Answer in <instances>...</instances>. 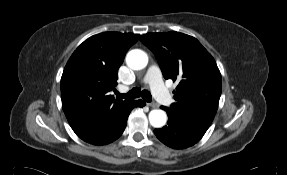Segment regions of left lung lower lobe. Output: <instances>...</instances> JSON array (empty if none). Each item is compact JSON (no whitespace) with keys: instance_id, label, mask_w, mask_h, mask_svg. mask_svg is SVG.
<instances>
[{"instance_id":"0a47b994","label":"left lung lower lobe","mask_w":287,"mask_h":175,"mask_svg":"<svg viewBox=\"0 0 287 175\" xmlns=\"http://www.w3.org/2000/svg\"><path fill=\"white\" fill-rule=\"evenodd\" d=\"M161 108L164 109L163 106ZM154 133L161 142L173 149L188 148L203 137L171 114H168V125L155 129Z\"/></svg>"}]
</instances>
